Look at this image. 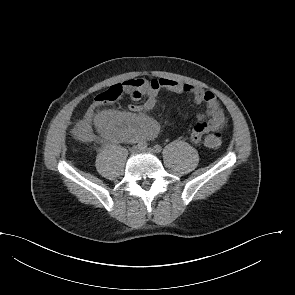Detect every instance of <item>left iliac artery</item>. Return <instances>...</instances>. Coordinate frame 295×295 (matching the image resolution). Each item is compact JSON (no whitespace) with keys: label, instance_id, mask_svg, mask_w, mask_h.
I'll list each match as a JSON object with an SVG mask.
<instances>
[{"label":"left iliac artery","instance_id":"left-iliac-artery-1","mask_svg":"<svg viewBox=\"0 0 295 295\" xmlns=\"http://www.w3.org/2000/svg\"><path fill=\"white\" fill-rule=\"evenodd\" d=\"M154 151H155L156 153H160V152L162 151V147H161L160 145L156 144V145L154 146Z\"/></svg>","mask_w":295,"mask_h":295}]
</instances>
